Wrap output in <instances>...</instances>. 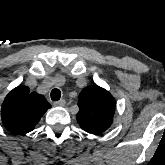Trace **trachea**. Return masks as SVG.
Returning a JSON list of instances; mask_svg holds the SVG:
<instances>
[{
    "instance_id": "obj_1",
    "label": "trachea",
    "mask_w": 165,
    "mask_h": 165,
    "mask_svg": "<svg viewBox=\"0 0 165 165\" xmlns=\"http://www.w3.org/2000/svg\"><path fill=\"white\" fill-rule=\"evenodd\" d=\"M61 98V92L59 89H53L51 91V99L54 101H58Z\"/></svg>"
}]
</instances>
